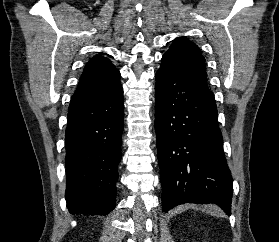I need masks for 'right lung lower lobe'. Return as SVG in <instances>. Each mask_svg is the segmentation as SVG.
Masks as SVG:
<instances>
[{
    "label": "right lung lower lobe",
    "mask_w": 279,
    "mask_h": 242,
    "mask_svg": "<svg viewBox=\"0 0 279 242\" xmlns=\"http://www.w3.org/2000/svg\"><path fill=\"white\" fill-rule=\"evenodd\" d=\"M123 89L70 102L66 128V201L72 214L107 215L115 206L121 160Z\"/></svg>",
    "instance_id": "right-lung-lower-lobe-1"
}]
</instances>
